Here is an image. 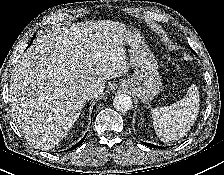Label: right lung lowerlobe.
<instances>
[{"mask_svg":"<svg viewBox=\"0 0 224 175\" xmlns=\"http://www.w3.org/2000/svg\"><path fill=\"white\" fill-rule=\"evenodd\" d=\"M32 41H33V38H32V40H31V43H32ZM31 43H30V45H31ZM30 45H29V46H30ZM85 137H86V135L84 136L83 139H81L80 142H78L76 145H74V146H73L72 148H70L68 151H70V150H74L75 148H77L78 146H80V145L83 143Z\"/></svg>","mask_w":224,"mask_h":175,"instance_id":"right-lung-lower-lobe-1","label":"right lung lower lobe"}]
</instances>
